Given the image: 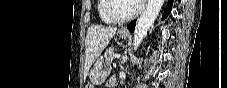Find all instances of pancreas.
Here are the masks:
<instances>
[{
    "instance_id": "pancreas-1",
    "label": "pancreas",
    "mask_w": 227,
    "mask_h": 88,
    "mask_svg": "<svg viewBox=\"0 0 227 88\" xmlns=\"http://www.w3.org/2000/svg\"><path fill=\"white\" fill-rule=\"evenodd\" d=\"M114 49L113 48H109L106 50L104 57L107 61L112 62L114 60Z\"/></svg>"
}]
</instances>
